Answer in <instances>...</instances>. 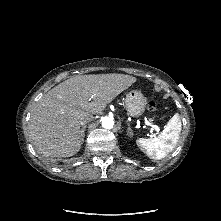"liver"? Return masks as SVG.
Listing matches in <instances>:
<instances>
[{"instance_id":"1","label":"liver","mask_w":221,"mask_h":221,"mask_svg":"<svg viewBox=\"0 0 221 221\" xmlns=\"http://www.w3.org/2000/svg\"><path fill=\"white\" fill-rule=\"evenodd\" d=\"M124 74L75 76L48 91L35 104L29 121L36 149L45 156L70 157L81 148L80 119L100 114L136 82ZM89 98L93 101L88 102Z\"/></svg>"}]
</instances>
